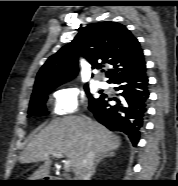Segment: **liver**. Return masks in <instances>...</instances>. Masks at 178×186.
Returning <instances> with one entry per match:
<instances>
[{
	"label": "liver",
	"instance_id": "liver-1",
	"mask_svg": "<svg viewBox=\"0 0 178 186\" xmlns=\"http://www.w3.org/2000/svg\"><path fill=\"white\" fill-rule=\"evenodd\" d=\"M120 141L103 125L86 117L56 118L30 140L20 156V162L43 161L44 164L30 176V180H40L50 172L51 153L60 152L71 161L76 173L89 146L99 155L117 149Z\"/></svg>",
	"mask_w": 178,
	"mask_h": 186
}]
</instances>
